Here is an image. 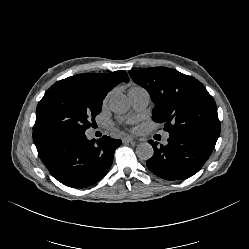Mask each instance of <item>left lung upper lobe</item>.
I'll return each mask as SVG.
<instances>
[{"mask_svg": "<svg viewBox=\"0 0 249 249\" xmlns=\"http://www.w3.org/2000/svg\"><path fill=\"white\" fill-rule=\"evenodd\" d=\"M155 104L152 119L168 133L188 130L219 137L220 121L213 97L194 77L166 67L131 70Z\"/></svg>", "mask_w": 249, "mask_h": 249, "instance_id": "left-lung-upper-lobe-1", "label": "left lung upper lobe"}]
</instances>
